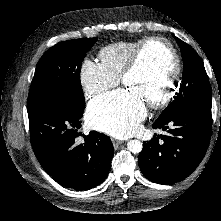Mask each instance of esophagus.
Here are the masks:
<instances>
[{
  "label": "esophagus",
  "mask_w": 221,
  "mask_h": 221,
  "mask_svg": "<svg viewBox=\"0 0 221 221\" xmlns=\"http://www.w3.org/2000/svg\"><path fill=\"white\" fill-rule=\"evenodd\" d=\"M112 143H113L114 148H118L123 143V141H120V140H117V139L113 138Z\"/></svg>",
  "instance_id": "esophagus-1"
}]
</instances>
